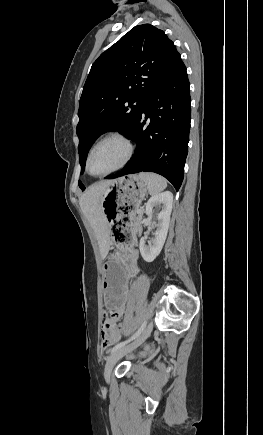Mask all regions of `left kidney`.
Listing matches in <instances>:
<instances>
[{"label": "left kidney", "instance_id": "obj_1", "mask_svg": "<svg viewBox=\"0 0 263 435\" xmlns=\"http://www.w3.org/2000/svg\"><path fill=\"white\" fill-rule=\"evenodd\" d=\"M172 204L173 194L170 191L153 195L146 203L145 214L148 217H152L155 209H157V224L154 237L149 241L148 245L146 244V237L140 239V253L146 262L154 261L163 248L168 233Z\"/></svg>", "mask_w": 263, "mask_h": 435}]
</instances>
